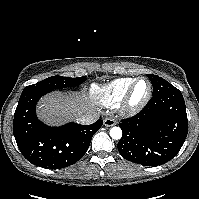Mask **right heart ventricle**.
<instances>
[{
  "mask_svg": "<svg viewBox=\"0 0 199 199\" xmlns=\"http://www.w3.org/2000/svg\"><path fill=\"white\" fill-rule=\"evenodd\" d=\"M133 81V78H118L107 84L93 85L92 98L103 107L116 106L123 100Z\"/></svg>",
  "mask_w": 199,
  "mask_h": 199,
  "instance_id": "e07e8e85",
  "label": "right heart ventricle"
}]
</instances>
